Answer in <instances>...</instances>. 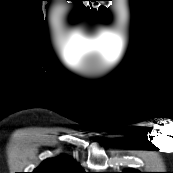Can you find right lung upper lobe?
Segmentation results:
<instances>
[{"label":"right lung upper lobe","mask_w":173,"mask_h":173,"mask_svg":"<svg viewBox=\"0 0 173 173\" xmlns=\"http://www.w3.org/2000/svg\"><path fill=\"white\" fill-rule=\"evenodd\" d=\"M33 173H85L81 166L67 156L50 158L34 170Z\"/></svg>","instance_id":"cb5924a9"}]
</instances>
